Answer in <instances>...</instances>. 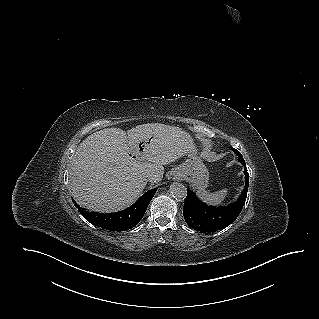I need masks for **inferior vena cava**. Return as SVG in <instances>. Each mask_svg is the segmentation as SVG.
Returning <instances> with one entry per match:
<instances>
[{
	"label": "inferior vena cava",
	"instance_id": "1",
	"mask_svg": "<svg viewBox=\"0 0 319 319\" xmlns=\"http://www.w3.org/2000/svg\"><path fill=\"white\" fill-rule=\"evenodd\" d=\"M151 179H152V176H151V175H146V176H145V180H146V181H150Z\"/></svg>",
	"mask_w": 319,
	"mask_h": 319
}]
</instances>
